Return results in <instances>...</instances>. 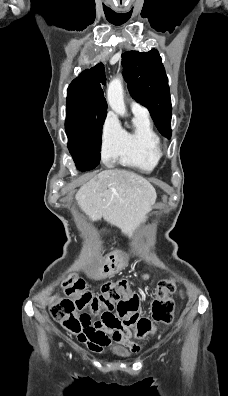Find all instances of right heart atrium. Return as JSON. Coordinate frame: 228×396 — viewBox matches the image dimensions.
Listing matches in <instances>:
<instances>
[{
	"label": "right heart atrium",
	"instance_id": "d8ad5b80",
	"mask_svg": "<svg viewBox=\"0 0 228 396\" xmlns=\"http://www.w3.org/2000/svg\"><path fill=\"white\" fill-rule=\"evenodd\" d=\"M122 138V128L116 118L108 114L101 129V153L104 161L110 162L117 156Z\"/></svg>",
	"mask_w": 228,
	"mask_h": 396
}]
</instances>
